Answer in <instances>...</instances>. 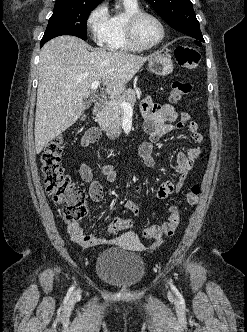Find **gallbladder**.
<instances>
[{"label": "gallbladder", "mask_w": 247, "mask_h": 332, "mask_svg": "<svg viewBox=\"0 0 247 332\" xmlns=\"http://www.w3.org/2000/svg\"><path fill=\"white\" fill-rule=\"evenodd\" d=\"M90 107V103L89 102H85V108H89Z\"/></svg>", "instance_id": "1"}]
</instances>
